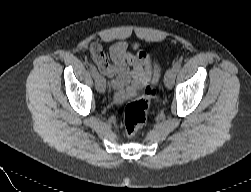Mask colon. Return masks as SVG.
Segmentation results:
<instances>
[{"label": "colon", "mask_w": 251, "mask_h": 192, "mask_svg": "<svg viewBox=\"0 0 251 192\" xmlns=\"http://www.w3.org/2000/svg\"><path fill=\"white\" fill-rule=\"evenodd\" d=\"M156 95V90L150 86L143 89L141 97L129 103L124 110V130L128 137L136 135L144 126L150 100Z\"/></svg>", "instance_id": "5ec220e1"}]
</instances>
